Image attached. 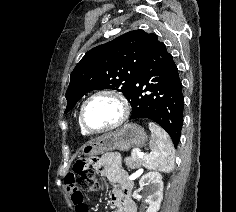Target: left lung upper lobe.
<instances>
[{"instance_id": "left-lung-upper-lobe-1", "label": "left lung upper lobe", "mask_w": 236, "mask_h": 212, "mask_svg": "<svg viewBox=\"0 0 236 212\" xmlns=\"http://www.w3.org/2000/svg\"><path fill=\"white\" fill-rule=\"evenodd\" d=\"M151 35L133 30L89 50L71 73L64 113L92 90H118L128 99Z\"/></svg>"}]
</instances>
